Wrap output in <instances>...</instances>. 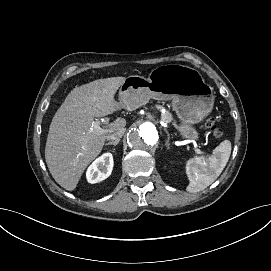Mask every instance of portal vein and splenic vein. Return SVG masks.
Segmentation results:
<instances>
[{
  "label": "portal vein and splenic vein",
  "instance_id": "18ae733b",
  "mask_svg": "<svg viewBox=\"0 0 271 271\" xmlns=\"http://www.w3.org/2000/svg\"><path fill=\"white\" fill-rule=\"evenodd\" d=\"M91 131L93 132V133H95V134H97V135H102V134H104V133H106L107 132V129H103V128H101L96 122H93L92 123V127H91ZM195 152L197 153V154H209V155H211L212 153L211 152H207V153H205V151H202L201 152V150L200 149H195Z\"/></svg>",
  "mask_w": 271,
  "mask_h": 271
}]
</instances>
